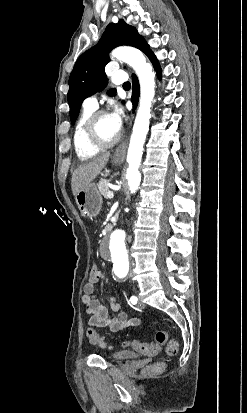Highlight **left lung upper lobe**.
Instances as JSON below:
<instances>
[{"mask_svg":"<svg viewBox=\"0 0 247 413\" xmlns=\"http://www.w3.org/2000/svg\"><path fill=\"white\" fill-rule=\"evenodd\" d=\"M120 45L136 47L147 56L153 53L137 30L124 20H120L117 24H109L98 44L78 58L71 72L67 99L72 124L75 123L83 100L105 88L107 84L105 66L110 61L109 52ZM108 93L114 95L116 90L111 89Z\"/></svg>","mask_w":247,"mask_h":413,"instance_id":"1","label":"left lung upper lobe"}]
</instances>
